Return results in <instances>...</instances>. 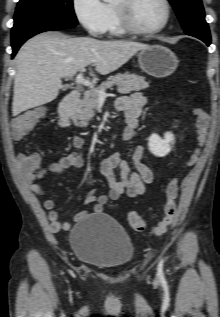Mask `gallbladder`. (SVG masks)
<instances>
[{
    "label": "gallbladder",
    "mask_w": 220,
    "mask_h": 317,
    "mask_svg": "<svg viewBox=\"0 0 220 317\" xmlns=\"http://www.w3.org/2000/svg\"><path fill=\"white\" fill-rule=\"evenodd\" d=\"M66 89V87H63V90H65Z\"/></svg>",
    "instance_id": "gallbladder-1"
}]
</instances>
